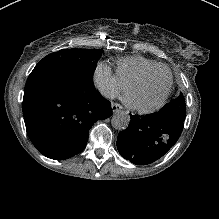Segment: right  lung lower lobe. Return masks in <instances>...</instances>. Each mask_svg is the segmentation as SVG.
Wrapping results in <instances>:
<instances>
[{
  "instance_id": "1",
  "label": "right lung lower lobe",
  "mask_w": 219,
  "mask_h": 219,
  "mask_svg": "<svg viewBox=\"0 0 219 219\" xmlns=\"http://www.w3.org/2000/svg\"><path fill=\"white\" fill-rule=\"evenodd\" d=\"M111 112L110 102L95 89L92 76L70 62L34 69L26 82L27 133L49 158L66 159L82 151L92 125Z\"/></svg>"
}]
</instances>
